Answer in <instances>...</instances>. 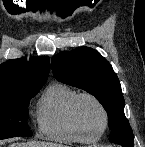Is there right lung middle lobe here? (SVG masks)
Masks as SVG:
<instances>
[{
  "label": "right lung middle lobe",
  "instance_id": "right-lung-middle-lobe-1",
  "mask_svg": "<svg viewBox=\"0 0 145 147\" xmlns=\"http://www.w3.org/2000/svg\"><path fill=\"white\" fill-rule=\"evenodd\" d=\"M41 87H23L0 93V140L32 136L27 124V107Z\"/></svg>",
  "mask_w": 145,
  "mask_h": 147
}]
</instances>
